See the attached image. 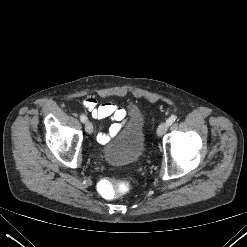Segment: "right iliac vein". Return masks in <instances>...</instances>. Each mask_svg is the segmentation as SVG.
I'll use <instances>...</instances> for the list:
<instances>
[{"label":"right iliac vein","mask_w":247,"mask_h":247,"mask_svg":"<svg viewBox=\"0 0 247 247\" xmlns=\"http://www.w3.org/2000/svg\"><path fill=\"white\" fill-rule=\"evenodd\" d=\"M85 130L88 134H92L93 132V125L90 121H86L85 123Z\"/></svg>","instance_id":"right-iliac-vein-1"}]
</instances>
